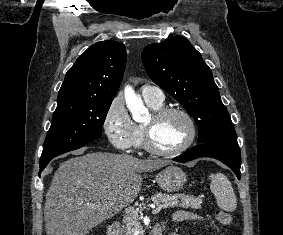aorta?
Returning <instances> with one entry per match:
<instances>
[{"mask_svg": "<svg viewBox=\"0 0 283 235\" xmlns=\"http://www.w3.org/2000/svg\"><path fill=\"white\" fill-rule=\"evenodd\" d=\"M124 95L127 108L135 121H142L149 116L148 110L144 106L141 97L134 92L132 87H125Z\"/></svg>", "mask_w": 283, "mask_h": 235, "instance_id": "1", "label": "aorta"}]
</instances>
